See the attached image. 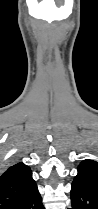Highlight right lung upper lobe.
I'll use <instances>...</instances> for the list:
<instances>
[{
	"label": "right lung upper lobe",
	"mask_w": 98,
	"mask_h": 209,
	"mask_svg": "<svg viewBox=\"0 0 98 209\" xmlns=\"http://www.w3.org/2000/svg\"><path fill=\"white\" fill-rule=\"evenodd\" d=\"M35 188L29 166L20 162L9 167L0 176V209H10Z\"/></svg>",
	"instance_id": "1"
}]
</instances>
